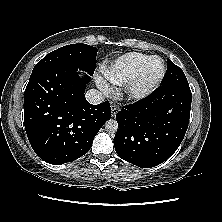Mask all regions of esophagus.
Instances as JSON below:
<instances>
[{
  "instance_id": "obj_1",
  "label": "esophagus",
  "mask_w": 222,
  "mask_h": 222,
  "mask_svg": "<svg viewBox=\"0 0 222 222\" xmlns=\"http://www.w3.org/2000/svg\"><path fill=\"white\" fill-rule=\"evenodd\" d=\"M118 110H119L118 105L112 104V105H111V116H112V117H115L116 114H117V112H118Z\"/></svg>"
}]
</instances>
